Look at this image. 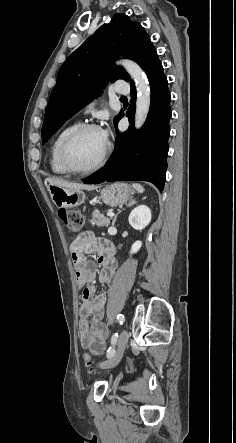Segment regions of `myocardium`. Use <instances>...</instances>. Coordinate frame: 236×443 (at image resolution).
<instances>
[{"label": "myocardium", "instance_id": "obj_1", "mask_svg": "<svg viewBox=\"0 0 236 443\" xmlns=\"http://www.w3.org/2000/svg\"><path fill=\"white\" fill-rule=\"evenodd\" d=\"M89 130L102 131L101 127L98 126L97 124L84 123V124L77 126L73 131H71L66 136V138L63 140V142L61 144L60 151H59V158H60V162H61L62 166L65 168V170L68 173L77 174V175H88V174L95 173L104 166V164L109 156L111 146H110V143L107 141L106 148H105L104 152L102 153L100 159L98 160V162L94 166H92L91 168H87V169H80V168H76L75 166L72 165V163L69 160V155H68L69 148L76 138H78L81 134H83L84 132L89 131Z\"/></svg>", "mask_w": 236, "mask_h": 443}]
</instances>
